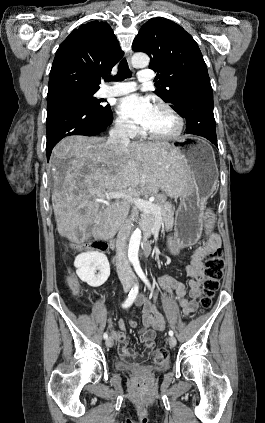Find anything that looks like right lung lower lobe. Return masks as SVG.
Instances as JSON below:
<instances>
[{
    "mask_svg": "<svg viewBox=\"0 0 265 423\" xmlns=\"http://www.w3.org/2000/svg\"><path fill=\"white\" fill-rule=\"evenodd\" d=\"M112 120L111 110L96 111L75 97L57 95L47 100V160L53 147L64 137L98 135L111 125Z\"/></svg>",
    "mask_w": 265,
    "mask_h": 423,
    "instance_id": "obj_1",
    "label": "right lung lower lobe"
}]
</instances>
